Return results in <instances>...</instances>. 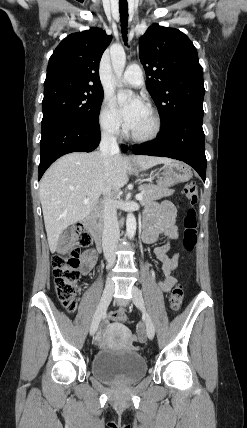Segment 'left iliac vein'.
I'll return each instance as SVG.
<instances>
[{
	"mask_svg": "<svg viewBox=\"0 0 247 428\" xmlns=\"http://www.w3.org/2000/svg\"><path fill=\"white\" fill-rule=\"evenodd\" d=\"M132 295H133V303L134 305L140 309L141 311L145 312V302L142 295V292L140 289L136 286H133L132 288ZM145 322H146V331L147 336L149 339H153L155 335V327L154 324L150 318V316L146 313L145 315Z\"/></svg>",
	"mask_w": 247,
	"mask_h": 428,
	"instance_id": "1",
	"label": "left iliac vein"
}]
</instances>
